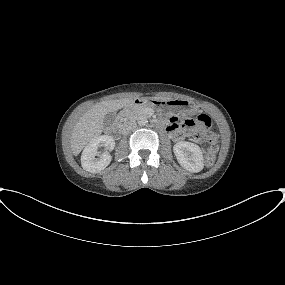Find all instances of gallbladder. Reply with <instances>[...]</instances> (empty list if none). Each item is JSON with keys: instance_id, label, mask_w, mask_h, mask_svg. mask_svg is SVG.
<instances>
[{"instance_id": "bac80fb5", "label": "gallbladder", "mask_w": 285, "mask_h": 285, "mask_svg": "<svg viewBox=\"0 0 285 285\" xmlns=\"http://www.w3.org/2000/svg\"><path fill=\"white\" fill-rule=\"evenodd\" d=\"M115 119H116V114H115V112H109V113H107V114L105 115V117H104V125H105V126H110L111 124L114 123Z\"/></svg>"}]
</instances>
